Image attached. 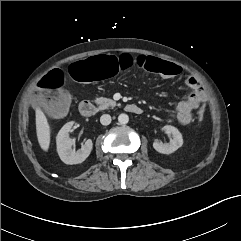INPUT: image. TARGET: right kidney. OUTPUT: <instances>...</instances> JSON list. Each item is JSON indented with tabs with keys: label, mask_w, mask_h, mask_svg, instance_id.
<instances>
[{
	"label": "right kidney",
	"mask_w": 241,
	"mask_h": 241,
	"mask_svg": "<svg viewBox=\"0 0 241 241\" xmlns=\"http://www.w3.org/2000/svg\"><path fill=\"white\" fill-rule=\"evenodd\" d=\"M73 122L66 123L59 131L56 142L57 152L60 159L65 164H79L86 160L92 150V140L88 139L81 149L75 152L72 149L73 141L69 137V133L72 131Z\"/></svg>",
	"instance_id": "right-kidney-1"
}]
</instances>
